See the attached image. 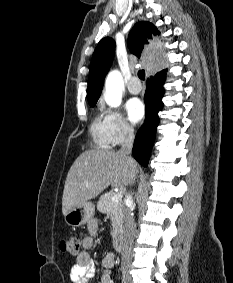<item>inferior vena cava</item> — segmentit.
Returning <instances> with one entry per match:
<instances>
[{
  "instance_id": "1",
  "label": "inferior vena cava",
  "mask_w": 233,
  "mask_h": 283,
  "mask_svg": "<svg viewBox=\"0 0 233 283\" xmlns=\"http://www.w3.org/2000/svg\"><path fill=\"white\" fill-rule=\"evenodd\" d=\"M134 142V130L132 127L127 126V138L122 144L119 153L122 155H130ZM127 206L124 208V238L121 253V268L124 270L131 265L133 242L136 231V225L132 214V195L126 196Z\"/></svg>"
}]
</instances>
